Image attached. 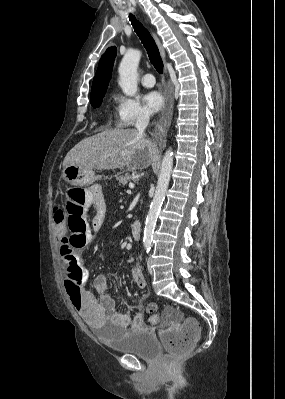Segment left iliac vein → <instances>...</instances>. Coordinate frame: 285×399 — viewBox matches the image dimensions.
Here are the masks:
<instances>
[{
	"label": "left iliac vein",
	"instance_id": "1",
	"mask_svg": "<svg viewBox=\"0 0 285 399\" xmlns=\"http://www.w3.org/2000/svg\"><path fill=\"white\" fill-rule=\"evenodd\" d=\"M151 263H152V262H151V259L148 258V260H147V269H148L149 274H150V275H153L154 271H153V268H152Z\"/></svg>",
	"mask_w": 285,
	"mask_h": 399
}]
</instances>
